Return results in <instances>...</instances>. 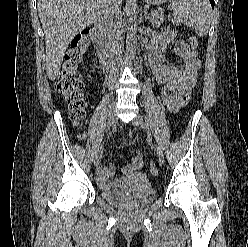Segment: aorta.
Wrapping results in <instances>:
<instances>
[{"label":"aorta","mask_w":248,"mask_h":247,"mask_svg":"<svg viewBox=\"0 0 248 247\" xmlns=\"http://www.w3.org/2000/svg\"><path fill=\"white\" fill-rule=\"evenodd\" d=\"M129 20L126 34V51L130 60L134 59L137 49V20L135 8L129 10Z\"/></svg>","instance_id":"762f6f07"}]
</instances>
